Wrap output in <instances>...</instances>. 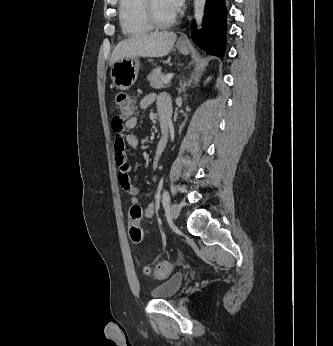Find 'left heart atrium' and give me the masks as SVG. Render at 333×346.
Here are the masks:
<instances>
[{"label":"left heart atrium","instance_id":"left-heart-atrium-1","mask_svg":"<svg viewBox=\"0 0 333 346\" xmlns=\"http://www.w3.org/2000/svg\"><path fill=\"white\" fill-rule=\"evenodd\" d=\"M164 3L167 9L175 15L181 10L184 0H164Z\"/></svg>","mask_w":333,"mask_h":346}]
</instances>
